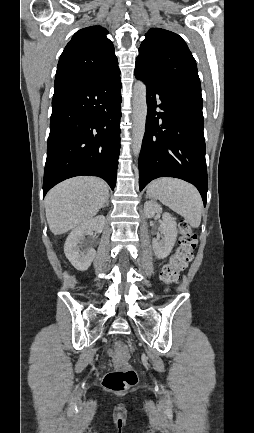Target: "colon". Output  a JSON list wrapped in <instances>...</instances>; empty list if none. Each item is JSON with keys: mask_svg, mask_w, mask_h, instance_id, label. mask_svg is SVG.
<instances>
[{"mask_svg": "<svg viewBox=\"0 0 254 433\" xmlns=\"http://www.w3.org/2000/svg\"><path fill=\"white\" fill-rule=\"evenodd\" d=\"M180 238L175 253L170 257L161 270V278L166 284H174L178 280L179 272L191 261L197 247V234L190 225L182 221L179 224ZM118 358H122L126 348L120 344ZM137 383L136 371L126 365L120 364L115 369L107 372L102 380L105 389L111 392H125Z\"/></svg>", "mask_w": 254, "mask_h": 433, "instance_id": "5ec220e1", "label": "colon"}]
</instances>
